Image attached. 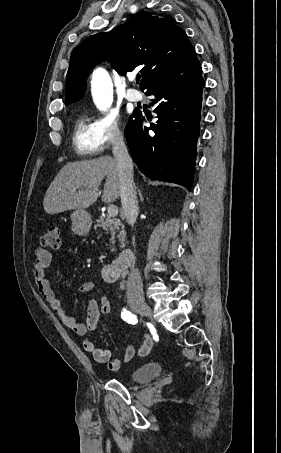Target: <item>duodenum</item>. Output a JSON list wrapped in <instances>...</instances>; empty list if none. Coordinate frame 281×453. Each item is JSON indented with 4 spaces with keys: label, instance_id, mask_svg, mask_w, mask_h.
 I'll list each match as a JSON object with an SVG mask.
<instances>
[{
    "label": "duodenum",
    "instance_id": "1",
    "mask_svg": "<svg viewBox=\"0 0 281 453\" xmlns=\"http://www.w3.org/2000/svg\"><path fill=\"white\" fill-rule=\"evenodd\" d=\"M132 251L124 249L113 261L102 269V277L106 282H114L125 273L132 261Z\"/></svg>",
    "mask_w": 281,
    "mask_h": 453
}]
</instances>
